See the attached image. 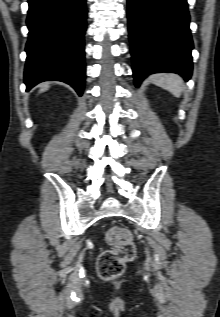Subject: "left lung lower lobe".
<instances>
[{
  "mask_svg": "<svg viewBox=\"0 0 220 317\" xmlns=\"http://www.w3.org/2000/svg\"><path fill=\"white\" fill-rule=\"evenodd\" d=\"M135 85L156 72L192 74L187 0H127Z\"/></svg>",
  "mask_w": 220,
  "mask_h": 317,
  "instance_id": "left-lung-lower-lobe-1",
  "label": "left lung lower lobe"
}]
</instances>
